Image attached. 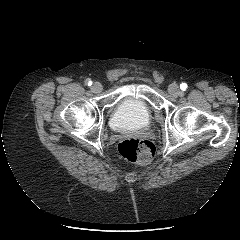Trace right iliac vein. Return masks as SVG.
<instances>
[{
  "instance_id": "1",
  "label": "right iliac vein",
  "mask_w": 240,
  "mask_h": 240,
  "mask_svg": "<svg viewBox=\"0 0 240 240\" xmlns=\"http://www.w3.org/2000/svg\"><path fill=\"white\" fill-rule=\"evenodd\" d=\"M91 90L94 93H100L103 90L102 85L99 82H95L92 86H91Z\"/></svg>"
}]
</instances>
